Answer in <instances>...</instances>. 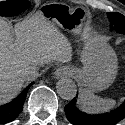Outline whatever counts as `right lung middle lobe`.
I'll use <instances>...</instances> for the list:
<instances>
[{"instance_id": "obj_1", "label": "right lung middle lobe", "mask_w": 125, "mask_h": 125, "mask_svg": "<svg viewBox=\"0 0 125 125\" xmlns=\"http://www.w3.org/2000/svg\"><path fill=\"white\" fill-rule=\"evenodd\" d=\"M30 3L27 0H6L0 2V16H14L23 12Z\"/></svg>"}]
</instances>
